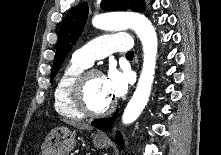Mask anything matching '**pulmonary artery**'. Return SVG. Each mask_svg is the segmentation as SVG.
<instances>
[{
	"mask_svg": "<svg viewBox=\"0 0 221 155\" xmlns=\"http://www.w3.org/2000/svg\"><path fill=\"white\" fill-rule=\"evenodd\" d=\"M132 47L131 38L125 33L99 36L73 54V59L91 66L96 59L103 58L113 52H128Z\"/></svg>",
	"mask_w": 221,
	"mask_h": 155,
	"instance_id": "e3ab8cb5",
	"label": "pulmonary artery"
}]
</instances>
